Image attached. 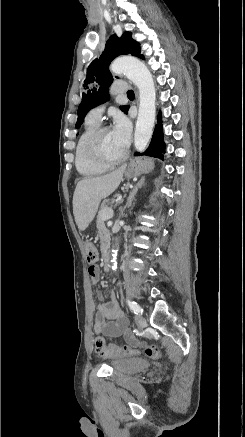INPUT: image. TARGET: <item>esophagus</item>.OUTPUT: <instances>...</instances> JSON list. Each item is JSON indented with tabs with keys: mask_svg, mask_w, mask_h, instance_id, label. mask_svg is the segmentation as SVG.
<instances>
[{
	"mask_svg": "<svg viewBox=\"0 0 245 437\" xmlns=\"http://www.w3.org/2000/svg\"><path fill=\"white\" fill-rule=\"evenodd\" d=\"M136 95L138 96V91L136 90Z\"/></svg>",
	"mask_w": 245,
	"mask_h": 437,
	"instance_id": "1",
	"label": "esophagus"
}]
</instances>
